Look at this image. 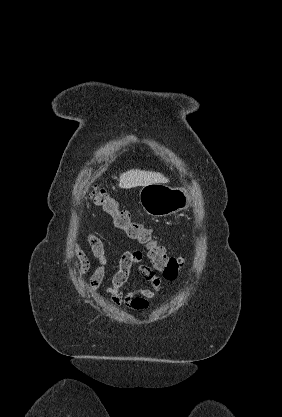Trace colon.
Wrapping results in <instances>:
<instances>
[{
  "instance_id": "5ec220e1",
  "label": "colon",
  "mask_w": 282,
  "mask_h": 417,
  "mask_svg": "<svg viewBox=\"0 0 282 417\" xmlns=\"http://www.w3.org/2000/svg\"><path fill=\"white\" fill-rule=\"evenodd\" d=\"M93 200L113 220L116 228L145 246L153 268L162 273L166 279H174L184 265L181 258L167 255L165 248L154 238L153 231L142 223L133 220L129 212L122 209L117 200L104 187L95 184L91 189Z\"/></svg>"
}]
</instances>
